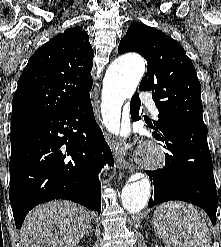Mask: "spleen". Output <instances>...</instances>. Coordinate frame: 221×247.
Wrapping results in <instances>:
<instances>
[{
  "instance_id": "obj_1",
  "label": "spleen",
  "mask_w": 221,
  "mask_h": 247,
  "mask_svg": "<svg viewBox=\"0 0 221 247\" xmlns=\"http://www.w3.org/2000/svg\"><path fill=\"white\" fill-rule=\"evenodd\" d=\"M154 231L170 247H211V235L191 204L168 202L154 212Z\"/></svg>"
}]
</instances>
